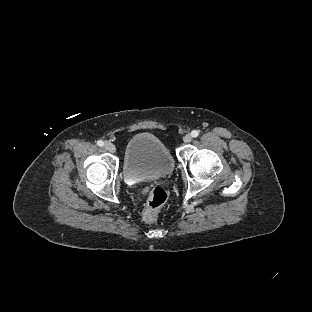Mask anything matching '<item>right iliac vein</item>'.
<instances>
[{
  "instance_id": "1",
  "label": "right iliac vein",
  "mask_w": 312,
  "mask_h": 312,
  "mask_svg": "<svg viewBox=\"0 0 312 312\" xmlns=\"http://www.w3.org/2000/svg\"><path fill=\"white\" fill-rule=\"evenodd\" d=\"M104 148L111 153H114L116 151L114 144H112L110 142H106L104 145Z\"/></svg>"
}]
</instances>
